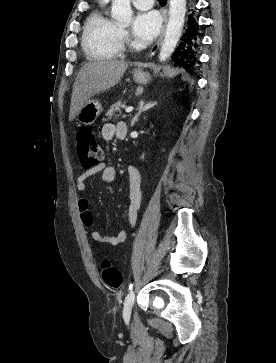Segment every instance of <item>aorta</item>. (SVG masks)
<instances>
[{
	"instance_id": "762f6f07",
	"label": "aorta",
	"mask_w": 276,
	"mask_h": 363,
	"mask_svg": "<svg viewBox=\"0 0 276 363\" xmlns=\"http://www.w3.org/2000/svg\"><path fill=\"white\" fill-rule=\"evenodd\" d=\"M185 14L186 0H170L169 21L159 53L160 62H165L176 48L181 37ZM111 15L119 23L129 24L133 15L130 0H112Z\"/></svg>"
}]
</instances>
